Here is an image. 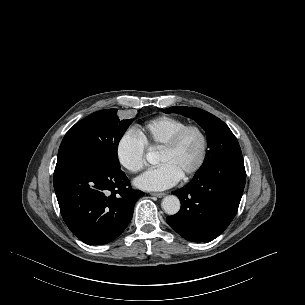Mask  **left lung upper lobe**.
<instances>
[{"label": "left lung upper lobe", "mask_w": 305, "mask_h": 305, "mask_svg": "<svg viewBox=\"0 0 305 305\" xmlns=\"http://www.w3.org/2000/svg\"><path fill=\"white\" fill-rule=\"evenodd\" d=\"M165 113L180 112V114L195 120L206 132L209 150L200 170H204L225 157L241 153L240 146L229 127L219 118L193 107H170Z\"/></svg>", "instance_id": "1"}]
</instances>
